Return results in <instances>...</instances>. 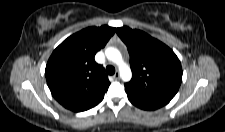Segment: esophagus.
I'll list each match as a JSON object with an SVG mask.
<instances>
[{
    "label": "esophagus",
    "mask_w": 225,
    "mask_h": 132,
    "mask_svg": "<svg viewBox=\"0 0 225 132\" xmlns=\"http://www.w3.org/2000/svg\"><path fill=\"white\" fill-rule=\"evenodd\" d=\"M113 78H114L115 80H119L120 74H119V73H115L114 76H113Z\"/></svg>",
    "instance_id": "34e87169"
}]
</instances>
